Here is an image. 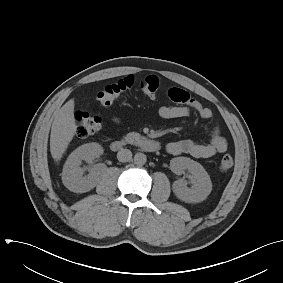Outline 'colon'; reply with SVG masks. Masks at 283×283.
<instances>
[{
  "label": "colon",
  "mask_w": 283,
  "mask_h": 283,
  "mask_svg": "<svg viewBox=\"0 0 283 283\" xmlns=\"http://www.w3.org/2000/svg\"><path fill=\"white\" fill-rule=\"evenodd\" d=\"M138 86L143 93L148 96H154L159 89V79L150 75L143 80L136 82L133 76H127L115 83L107 85L98 93L100 102L105 105H111L123 92ZM76 133L80 138H86L98 133L103 125V120L98 115L89 114L84 111L76 113ZM233 166V158L226 154L219 162V169L223 172L230 170Z\"/></svg>",
  "instance_id": "5ec220e1"
}]
</instances>
